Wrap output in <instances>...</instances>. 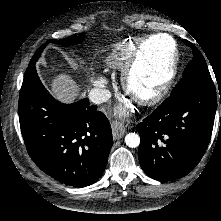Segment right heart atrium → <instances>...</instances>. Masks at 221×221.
<instances>
[{"label": "right heart atrium", "instance_id": "1", "mask_svg": "<svg viewBox=\"0 0 221 221\" xmlns=\"http://www.w3.org/2000/svg\"><path fill=\"white\" fill-rule=\"evenodd\" d=\"M93 81H94V83H96V84H100V83H103V82H104V78H103L102 76H95V77L93 78Z\"/></svg>", "mask_w": 221, "mask_h": 221}]
</instances>
